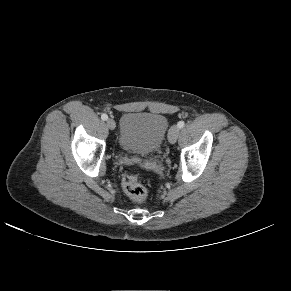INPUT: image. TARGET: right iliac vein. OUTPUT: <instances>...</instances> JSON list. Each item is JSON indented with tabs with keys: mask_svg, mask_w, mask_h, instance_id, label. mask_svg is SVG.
<instances>
[{
	"mask_svg": "<svg viewBox=\"0 0 291 291\" xmlns=\"http://www.w3.org/2000/svg\"><path fill=\"white\" fill-rule=\"evenodd\" d=\"M106 124H107V127L111 130H114L116 127L115 121L113 119H108Z\"/></svg>",
	"mask_w": 291,
	"mask_h": 291,
	"instance_id": "obj_1",
	"label": "right iliac vein"
}]
</instances>
